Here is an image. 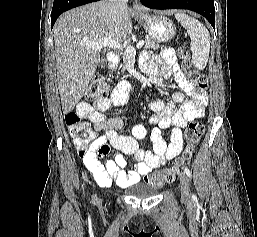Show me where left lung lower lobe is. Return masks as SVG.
<instances>
[{"label":"left lung lower lobe","mask_w":257,"mask_h":237,"mask_svg":"<svg viewBox=\"0 0 257 237\" xmlns=\"http://www.w3.org/2000/svg\"><path fill=\"white\" fill-rule=\"evenodd\" d=\"M151 9H188L204 16L215 29L214 0H140Z\"/></svg>","instance_id":"left-lung-lower-lobe-1"}]
</instances>
